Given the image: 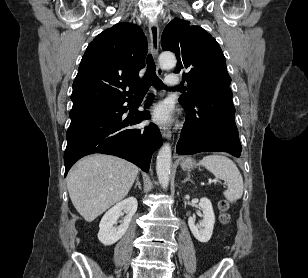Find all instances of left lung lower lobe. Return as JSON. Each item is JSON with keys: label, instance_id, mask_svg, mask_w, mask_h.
Wrapping results in <instances>:
<instances>
[{"label": "left lung lower lobe", "instance_id": "left-lung-lower-lobe-1", "mask_svg": "<svg viewBox=\"0 0 308 278\" xmlns=\"http://www.w3.org/2000/svg\"><path fill=\"white\" fill-rule=\"evenodd\" d=\"M182 106L188 114L176 147L178 154L224 151L236 157L241 155L229 87L207 92L192 105Z\"/></svg>", "mask_w": 308, "mask_h": 278}]
</instances>
